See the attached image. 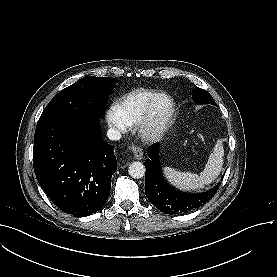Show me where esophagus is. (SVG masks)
Masks as SVG:
<instances>
[{"label":"esophagus","mask_w":277,"mask_h":277,"mask_svg":"<svg viewBox=\"0 0 277 277\" xmlns=\"http://www.w3.org/2000/svg\"><path fill=\"white\" fill-rule=\"evenodd\" d=\"M132 152L137 160L143 159V151L140 147L132 146Z\"/></svg>","instance_id":"34e87169"}]
</instances>
